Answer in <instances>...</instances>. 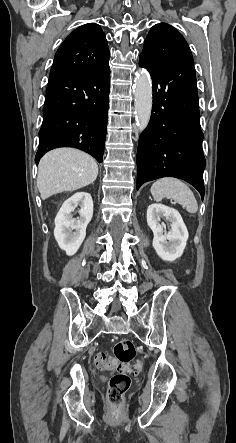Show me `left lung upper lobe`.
I'll list each match as a JSON object with an SVG mask.
<instances>
[{
  "instance_id": "1",
  "label": "left lung upper lobe",
  "mask_w": 236,
  "mask_h": 443,
  "mask_svg": "<svg viewBox=\"0 0 236 443\" xmlns=\"http://www.w3.org/2000/svg\"><path fill=\"white\" fill-rule=\"evenodd\" d=\"M140 55L151 62L194 64L191 50L183 36L166 23L151 28Z\"/></svg>"
}]
</instances>
